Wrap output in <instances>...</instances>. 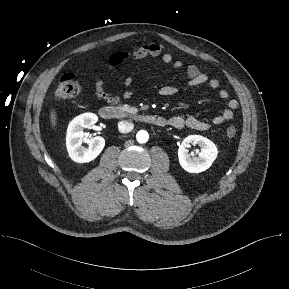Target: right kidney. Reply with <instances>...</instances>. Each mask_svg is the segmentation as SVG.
I'll return each instance as SVG.
<instances>
[{
    "mask_svg": "<svg viewBox=\"0 0 289 289\" xmlns=\"http://www.w3.org/2000/svg\"><path fill=\"white\" fill-rule=\"evenodd\" d=\"M98 121L93 113H84L75 117L68 126L66 147L70 158L77 163L94 160L103 150L105 139L101 136L88 139L84 129L91 128ZM83 142L87 146H83Z\"/></svg>",
    "mask_w": 289,
    "mask_h": 289,
    "instance_id": "ca27d5eb",
    "label": "right kidney"
}]
</instances>
